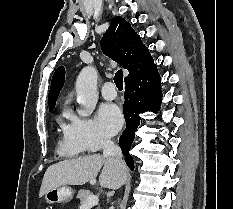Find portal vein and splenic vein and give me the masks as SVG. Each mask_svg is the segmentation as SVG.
<instances>
[{"label": "portal vein and splenic vein", "mask_w": 233, "mask_h": 209, "mask_svg": "<svg viewBox=\"0 0 233 209\" xmlns=\"http://www.w3.org/2000/svg\"><path fill=\"white\" fill-rule=\"evenodd\" d=\"M98 202H99L98 196L92 195L86 200V202L81 206L80 209H90L91 207L97 205Z\"/></svg>", "instance_id": "18ae733b"}]
</instances>
